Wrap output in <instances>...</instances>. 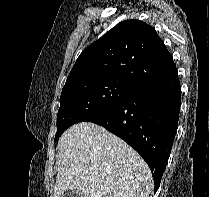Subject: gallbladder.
<instances>
[{
	"label": "gallbladder",
	"mask_w": 209,
	"mask_h": 197,
	"mask_svg": "<svg viewBox=\"0 0 209 197\" xmlns=\"http://www.w3.org/2000/svg\"><path fill=\"white\" fill-rule=\"evenodd\" d=\"M61 197H82L81 191L78 189H73L68 192H66L64 195Z\"/></svg>",
	"instance_id": "gallbladder-1"
}]
</instances>
